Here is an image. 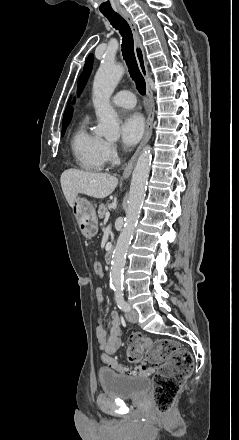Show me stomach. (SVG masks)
Returning <instances> with one entry per match:
<instances>
[{
  "label": "stomach",
  "mask_w": 239,
  "mask_h": 440,
  "mask_svg": "<svg viewBox=\"0 0 239 440\" xmlns=\"http://www.w3.org/2000/svg\"><path fill=\"white\" fill-rule=\"evenodd\" d=\"M73 214L77 220L81 234H83L87 240L94 238L98 232V218L93 204L88 202L86 198L77 196L73 206Z\"/></svg>",
  "instance_id": "1"
}]
</instances>
